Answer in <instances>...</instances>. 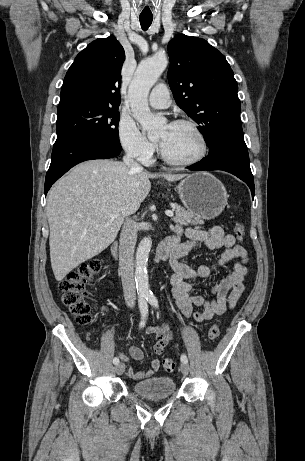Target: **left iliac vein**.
<instances>
[{
	"instance_id": "4c4485c4",
	"label": "left iliac vein",
	"mask_w": 305,
	"mask_h": 461,
	"mask_svg": "<svg viewBox=\"0 0 305 461\" xmlns=\"http://www.w3.org/2000/svg\"><path fill=\"white\" fill-rule=\"evenodd\" d=\"M181 372L183 375H188L189 373V366L187 363H182L180 366Z\"/></svg>"
}]
</instances>
